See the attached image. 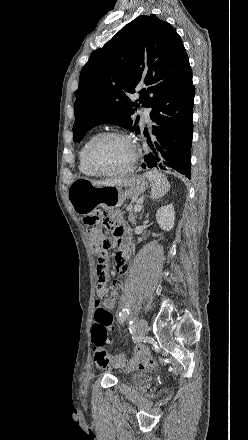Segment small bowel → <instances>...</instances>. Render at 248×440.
Masks as SVG:
<instances>
[{"label": "small bowel", "mask_w": 248, "mask_h": 440, "mask_svg": "<svg viewBox=\"0 0 248 440\" xmlns=\"http://www.w3.org/2000/svg\"><path fill=\"white\" fill-rule=\"evenodd\" d=\"M107 220V226L113 231L121 247L125 248V251L117 254L115 257L118 273L125 274L126 271L129 269V259L127 258V252L129 250L130 239L128 236V229L124 223L123 218L116 213L112 214ZM111 265L112 262L107 257H100L97 261L96 268V289L97 295L99 297L98 301H100V305L107 310H111L115 307L118 292L123 293L126 290L125 285L121 284L120 280L115 279L110 281V286L113 288L111 289V291H109V284L107 283V281L109 279V269ZM144 353L145 350L143 348H140V355L134 357L130 361V365L144 368L149 363V360L144 356Z\"/></svg>", "instance_id": "obj_1"}]
</instances>
